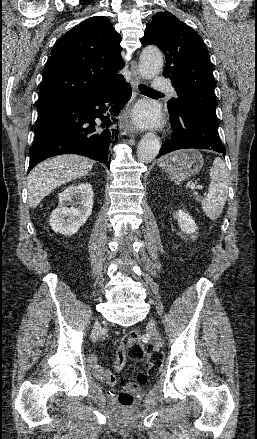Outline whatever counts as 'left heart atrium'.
<instances>
[{
  "instance_id": "1",
  "label": "left heart atrium",
  "mask_w": 257,
  "mask_h": 439,
  "mask_svg": "<svg viewBox=\"0 0 257 439\" xmlns=\"http://www.w3.org/2000/svg\"><path fill=\"white\" fill-rule=\"evenodd\" d=\"M134 118L136 122L141 125H149L158 121L156 111L148 105L138 107L135 110Z\"/></svg>"
}]
</instances>
